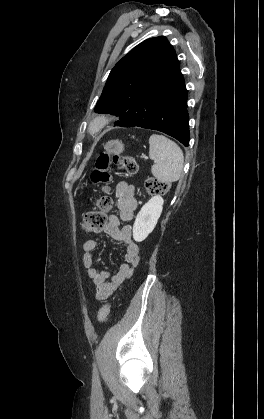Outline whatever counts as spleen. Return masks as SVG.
Listing matches in <instances>:
<instances>
[{"mask_svg":"<svg viewBox=\"0 0 264 419\" xmlns=\"http://www.w3.org/2000/svg\"><path fill=\"white\" fill-rule=\"evenodd\" d=\"M149 157L154 160L151 167L153 176L161 182L179 180L184 164L181 148L163 135L153 134L149 138Z\"/></svg>","mask_w":264,"mask_h":419,"instance_id":"spleen-1","label":"spleen"}]
</instances>
